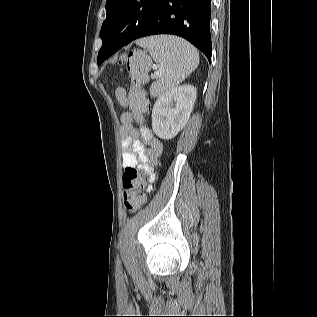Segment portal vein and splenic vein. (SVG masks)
<instances>
[{
	"label": "portal vein and splenic vein",
	"mask_w": 317,
	"mask_h": 317,
	"mask_svg": "<svg viewBox=\"0 0 317 317\" xmlns=\"http://www.w3.org/2000/svg\"><path fill=\"white\" fill-rule=\"evenodd\" d=\"M162 76V74H161V72H159V71H157V72H155L154 73V78H158V77H161Z\"/></svg>",
	"instance_id": "obj_1"
}]
</instances>
